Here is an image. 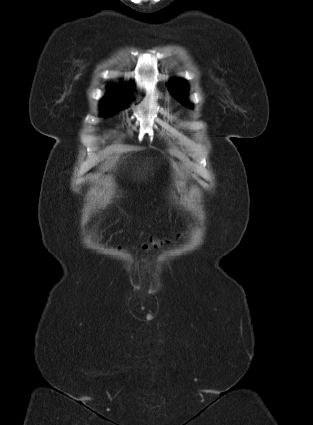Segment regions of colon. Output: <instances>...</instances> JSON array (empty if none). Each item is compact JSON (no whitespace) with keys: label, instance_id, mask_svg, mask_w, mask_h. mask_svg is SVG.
Segmentation results:
<instances>
[{"label":"colon","instance_id":"colon-1","mask_svg":"<svg viewBox=\"0 0 313 425\" xmlns=\"http://www.w3.org/2000/svg\"><path fill=\"white\" fill-rule=\"evenodd\" d=\"M159 245V242L156 240H152L151 242L144 245L145 249H149L150 247H157Z\"/></svg>","mask_w":313,"mask_h":425}]
</instances>
